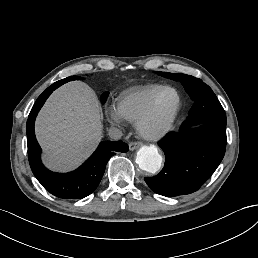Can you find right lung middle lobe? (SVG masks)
I'll return each instance as SVG.
<instances>
[{"mask_svg":"<svg viewBox=\"0 0 258 258\" xmlns=\"http://www.w3.org/2000/svg\"><path fill=\"white\" fill-rule=\"evenodd\" d=\"M107 97H108V93H105L102 98H101V101H102V104H104L107 100Z\"/></svg>","mask_w":258,"mask_h":258,"instance_id":"right-lung-middle-lobe-1","label":"right lung middle lobe"}]
</instances>
